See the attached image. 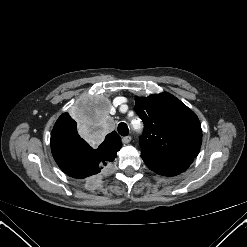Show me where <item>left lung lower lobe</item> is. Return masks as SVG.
Listing matches in <instances>:
<instances>
[{
    "mask_svg": "<svg viewBox=\"0 0 247 247\" xmlns=\"http://www.w3.org/2000/svg\"><path fill=\"white\" fill-rule=\"evenodd\" d=\"M145 164L154 172L164 176H175L185 171L193 160H167L141 155Z\"/></svg>",
    "mask_w": 247,
    "mask_h": 247,
    "instance_id": "obj_1",
    "label": "left lung lower lobe"
}]
</instances>
